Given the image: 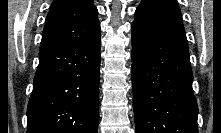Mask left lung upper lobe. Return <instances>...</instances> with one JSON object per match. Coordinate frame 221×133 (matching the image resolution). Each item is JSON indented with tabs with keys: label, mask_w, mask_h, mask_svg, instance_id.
<instances>
[{
	"label": "left lung upper lobe",
	"mask_w": 221,
	"mask_h": 133,
	"mask_svg": "<svg viewBox=\"0 0 221 133\" xmlns=\"http://www.w3.org/2000/svg\"><path fill=\"white\" fill-rule=\"evenodd\" d=\"M134 22L185 31L176 0H142L136 9Z\"/></svg>",
	"instance_id": "left-lung-upper-lobe-1"
}]
</instances>
